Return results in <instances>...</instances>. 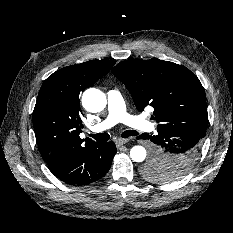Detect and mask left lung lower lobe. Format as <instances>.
Segmentation results:
<instances>
[{"label": "left lung lower lobe", "mask_w": 233, "mask_h": 233, "mask_svg": "<svg viewBox=\"0 0 233 233\" xmlns=\"http://www.w3.org/2000/svg\"><path fill=\"white\" fill-rule=\"evenodd\" d=\"M138 138L152 141V159L170 168L159 173L178 179L182 177L179 172L189 170L195 163L202 140L198 131L184 128L158 130L156 135L142 134Z\"/></svg>", "instance_id": "obj_1"}]
</instances>
